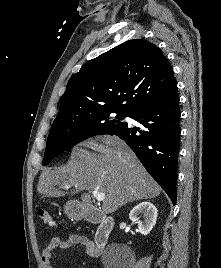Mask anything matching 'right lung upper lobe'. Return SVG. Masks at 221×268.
<instances>
[{
	"mask_svg": "<svg viewBox=\"0 0 221 268\" xmlns=\"http://www.w3.org/2000/svg\"><path fill=\"white\" fill-rule=\"evenodd\" d=\"M177 96L173 68L162 51L134 39L88 61L70 78L56 118L100 111L131 117Z\"/></svg>",
	"mask_w": 221,
	"mask_h": 268,
	"instance_id": "cb5924a9",
	"label": "right lung upper lobe"
}]
</instances>
